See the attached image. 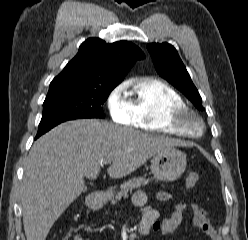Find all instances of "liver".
<instances>
[{
  "label": "liver",
  "instance_id": "1",
  "mask_svg": "<svg viewBox=\"0 0 248 240\" xmlns=\"http://www.w3.org/2000/svg\"><path fill=\"white\" fill-rule=\"evenodd\" d=\"M184 145L95 119L58 125L34 143L25 163L21 202L27 240L46 239L55 221L82 193L84 177L96 179L103 161H112L107 172L119 179L156 154Z\"/></svg>",
  "mask_w": 248,
  "mask_h": 240
}]
</instances>
